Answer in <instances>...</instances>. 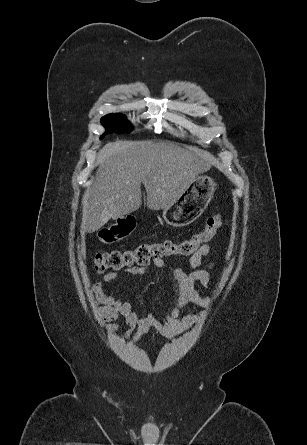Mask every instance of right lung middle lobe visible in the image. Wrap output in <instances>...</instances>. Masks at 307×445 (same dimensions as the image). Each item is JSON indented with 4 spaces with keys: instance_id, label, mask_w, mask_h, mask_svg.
<instances>
[{
    "instance_id": "obj_1",
    "label": "right lung middle lobe",
    "mask_w": 307,
    "mask_h": 445,
    "mask_svg": "<svg viewBox=\"0 0 307 445\" xmlns=\"http://www.w3.org/2000/svg\"><path fill=\"white\" fill-rule=\"evenodd\" d=\"M102 125L106 128V133H130L132 125L127 121L126 116L120 113L108 114L101 118ZM101 136V138H103Z\"/></svg>"
}]
</instances>
